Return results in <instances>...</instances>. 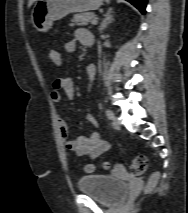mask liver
<instances>
[{
    "label": "liver",
    "mask_w": 188,
    "mask_h": 213,
    "mask_svg": "<svg viewBox=\"0 0 188 213\" xmlns=\"http://www.w3.org/2000/svg\"><path fill=\"white\" fill-rule=\"evenodd\" d=\"M37 0H29L28 1V7H31L32 6V4L34 3V2H36Z\"/></svg>",
    "instance_id": "1"
}]
</instances>
